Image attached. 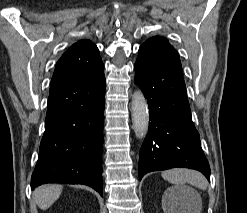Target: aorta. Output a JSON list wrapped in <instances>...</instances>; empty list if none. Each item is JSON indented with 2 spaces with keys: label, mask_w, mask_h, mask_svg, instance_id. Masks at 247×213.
<instances>
[{
  "label": "aorta",
  "mask_w": 247,
  "mask_h": 213,
  "mask_svg": "<svg viewBox=\"0 0 247 213\" xmlns=\"http://www.w3.org/2000/svg\"><path fill=\"white\" fill-rule=\"evenodd\" d=\"M131 111L135 135L137 138L142 139L148 133L149 109L147 101L139 89H136L132 95Z\"/></svg>",
  "instance_id": "1"
}]
</instances>
